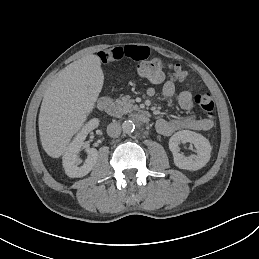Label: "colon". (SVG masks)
Returning <instances> with one entry per match:
<instances>
[{
	"mask_svg": "<svg viewBox=\"0 0 259 259\" xmlns=\"http://www.w3.org/2000/svg\"><path fill=\"white\" fill-rule=\"evenodd\" d=\"M138 75L153 84L160 83L166 77L180 82L188 81L187 74L179 65L166 63L160 58L149 59L141 63L138 67ZM194 101L205 111L208 118H214V102L209 92L197 93Z\"/></svg>",
	"mask_w": 259,
	"mask_h": 259,
	"instance_id": "5ec220e1",
	"label": "colon"
}]
</instances>
